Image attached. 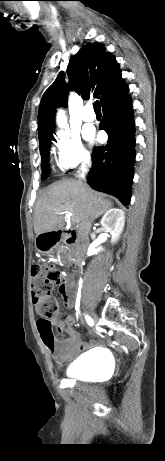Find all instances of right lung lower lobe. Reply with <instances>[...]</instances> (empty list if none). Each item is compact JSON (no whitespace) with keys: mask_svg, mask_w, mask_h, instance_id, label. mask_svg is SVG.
<instances>
[{"mask_svg":"<svg viewBox=\"0 0 165 461\" xmlns=\"http://www.w3.org/2000/svg\"><path fill=\"white\" fill-rule=\"evenodd\" d=\"M99 127L107 132L109 139L106 146L95 148L87 182L93 189L111 194L128 205L135 161L133 110L128 93L103 108Z\"/></svg>","mask_w":165,"mask_h":461,"instance_id":"obj_1","label":"right lung lower lobe"}]
</instances>
